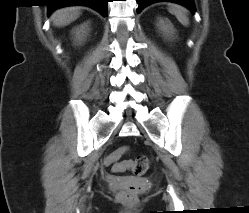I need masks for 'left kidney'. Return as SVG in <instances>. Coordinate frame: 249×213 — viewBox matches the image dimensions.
Listing matches in <instances>:
<instances>
[{"label": "left kidney", "instance_id": "5707ae66", "mask_svg": "<svg viewBox=\"0 0 249 213\" xmlns=\"http://www.w3.org/2000/svg\"><path fill=\"white\" fill-rule=\"evenodd\" d=\"M159 30L169 39L174 37L175 29L168 19H159L157 23Z\"/></svg>", "mask_w": 249, "mask_h": 213}]
</instances>
